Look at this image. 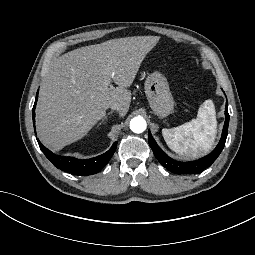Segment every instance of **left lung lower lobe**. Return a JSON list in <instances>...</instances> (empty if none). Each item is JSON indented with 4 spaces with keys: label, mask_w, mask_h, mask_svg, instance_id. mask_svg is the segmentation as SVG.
I'll return each instance as SVG.
<instances>
[{
    "label": "left lung lower lobe",
    "mask_w": 255,
    "mask_h": 255,
    "mask_svg": "<svg viewBox=\"0 0 255 255\" xmlns=\"http://www.w3.org/2000/svg\"><path fill=\"white\" fill-rule=\"evenodd\" d=\"M225 116L226 120L223 127V132L219 144L217 147L211 152L209 155L205 156L202 159L191 161V162H179L175 161L172 158L168 157L157 145L155 140L153 139L150 131L148 132V142L153 150L154 155L161 163L169 171L175 174H199L204 169L210 167L212 163L217 159L221 151L223 150L227 138L228 133V124H229V114H228V103H226L225 108Z\"/></svg>",
    "instance_id": "left-lung-lower-lobe-1"
}]
</instances>
